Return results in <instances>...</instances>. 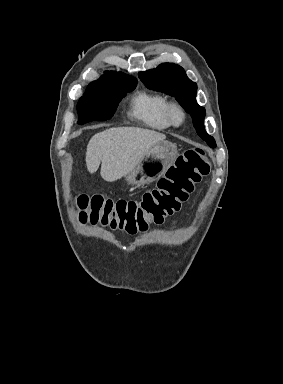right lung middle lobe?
<instances>
[{"mask_svg":"<svg viewBox=\"0 0 283 384\" xmlns=\"http://www.w3.org/2000/svg\"><path fill=\"white\" fill-rule=\"evenodd\" d=\"M136 85L137 83H120L87 88L77 104L78 123L111 119L119 101Z\"/></svg>","mask_w":283,"mask_h":384,"instance_id":"dd1d6c3e","label":"right lung middle lobe"}]
</instances>
